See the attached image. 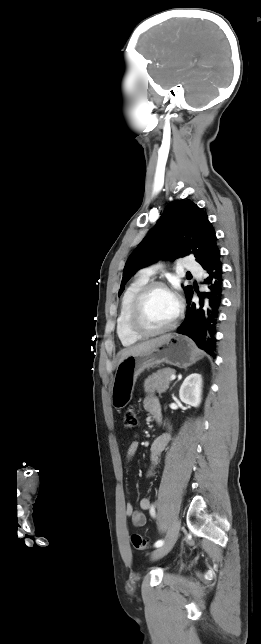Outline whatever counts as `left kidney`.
<instances>
[{"label": "left kidney", "instance_id": "obj_1", "mask_svg": "<svg viewBox=\"0 0 261 644\" xmlns=\"http://www.w3.org/2000/svg\"><path fill=\"white\" fill-rule=\"evenodd\" d=\"M202 396V376L197 373L190 374L183 381L179 397L185 404L198 407L201 403Z\"/></svg>", "mask_w": 261, "mask_h": 644}]
</instances>
